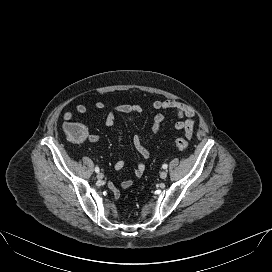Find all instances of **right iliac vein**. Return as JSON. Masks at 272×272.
Returning a JSON list of instances; mask_svg holds the SVG:
<instances>
[{
    "label": "right iliac vein",
    "instance_id": "obj_1",
    "mask_svg": "<svg viewBox=\"0 0 272 272\" xmlns=\"http://www.w3.org/2000/svg\"><path fill=\"white\" fill-rule=\"evenodd\" d=\"M103 178H104V175H103L102 173H98V174H97V179H98L99 181L103 180Z\"/></svg>",
    "mask_w": 272,
    "mask_h": 272
}]
</instances>
